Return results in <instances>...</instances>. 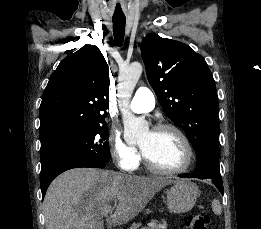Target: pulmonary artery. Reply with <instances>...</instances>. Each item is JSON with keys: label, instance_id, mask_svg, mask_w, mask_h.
Masks as SVG:
<instances>
[{"label": "pulmonary artery", "instance_id": "1", "mask_svg": "<svg viewBox=\"0 0 261 229\" xmlns=\"http://www.w3.org/2000/svg\"><path fill=\"white\" fill-rule=\"evenodd\" d=\"M155 107V96L147 87H140L134 95L131 111L134 113H147Z\"/></svg>", "mask_w": 261, "mask_h": 229}]
</instances>
